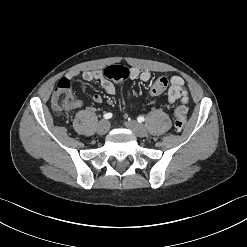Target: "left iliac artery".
<instances>
[{"mask_svg": "<svg viewBox=\"0 0 247 247\" xmlns=\"http://www.w3.org/2000/svg\"><path fill=\"white\" fill-rule=\"evenodd\" d=\"M137 120H138V122H144L145 121V118L143 117V116H139L138 118H137Z\"/></svg>", "mask_w": 247, "mask_h": 247, "instance_id": "left-iliac-artery-1", "label": "left iliac artery"}]
</instances>
